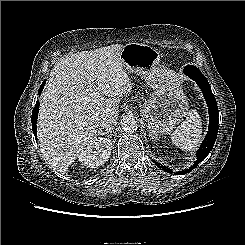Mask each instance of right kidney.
I'll return each mask as SVG.
<instances>
[{
    "instance_id": "right-kidney-1",
    "label": "right kidney",
    "mask_w": 245,
    "mask_h": 245,
    "mask_svg": "<svg viewBox=\"0 0 245 245\" xmlns=\"http://www.w3.org/2000/svg\"><path fill=\"white\" fill-rule=\"evenodd\" d=\"M112 150L111 140L108 138H95L91 140L88 146L79 154V161L87 168H96L103 165Z\"/></svg>"
}]
</instances>
